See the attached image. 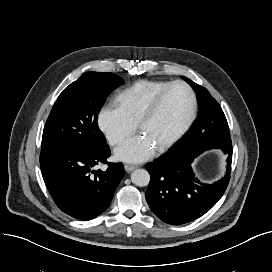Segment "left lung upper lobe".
Listing matches in <instances>:
<instances>
[{"mask_svg":"<svg viewBox=\"0 0 272 272\" xmlns=\"http://www.w3.org/2000/svg\"><path fill=\"white\" fill-rule=\"evenodd\" d=\"M197 93L199 119L186 137L203 146L220 147L231 143L226 117L217 103L204 87L184 77Z\"/></svg>","mask_w":272,"mask_h":272,"instance_id":"5c2ea615","label":"left lung upper lobe"}]
</instances>
